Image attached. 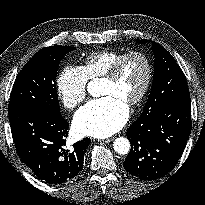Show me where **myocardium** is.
Returning <instances> with one entry per match:
<instances>
[{
	"mask_svg": "<svg viewBox=\"0 0 205 205\" xmlns=\"http://www.w3.org/2000/svg\"><path fill=\"white\" fill-rule=\"evenodd\" d=\"M131 57H139L141 58L146 65V77L144 84L142 86V89L138 93V95L131 101L128 102L127 105L134 106L142 102V100L145 98L146 94L149 91L152 78H153V65L150 57L141 51H130L127 53H124L108 70V72L102 77L103 80L106 81H115L117 77L119 76V73L121 71V68L125 61Z\"/></svg>",
	"mask_w": 205,
	"mask_h": 205,
	"instance_id": "1",
	"label": "myocardium"
}]
</instances>
